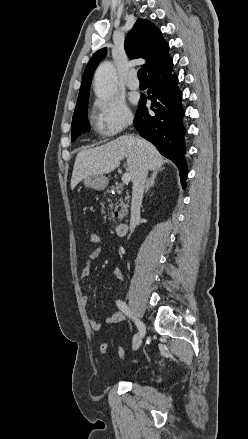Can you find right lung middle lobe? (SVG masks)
Returning <instances> with one entry per match:
<instances>
[{
    "mask_svg": "<svg viewBox=\"0 0 248 439\" xmlns=\"http://www.w3.org/2000/svg\"><path fill=\"white\" fill-rule=\"evenodd\" d=\"M87 102L76 109L73 114L72 126H71V140L75 141L82 133L87 132L90 129V125L87 119Z\"/></svg>",
    "mask_w": 248,
    "mask_h": 439,
    "instance_id": "dd1d6c3e",
    "label": "right lung middle lobe"
}]
</instances>
